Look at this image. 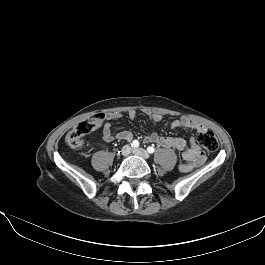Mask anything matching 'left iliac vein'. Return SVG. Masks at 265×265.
I'll return each mask as SVG.
<instances>
[{
    "mask_svg": "<svg viewBox=\"0 0 265 265\" xmlns=\"http://www.w3.org/2000/svg\"><path fill=\"white\" fill-rule=\"evenodd\" d=\"M132 152H133V154L140 156L144 159H148L150 157L149 153L146 150L141 149V148L133 149Z\"/></svg>",
    "mask_w": 265,
    "mask_h": 265,
    "instance_id": "1",
    "label": "left iliac vein"
}]
</instances>
